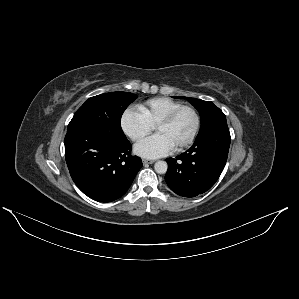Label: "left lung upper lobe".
<instances>
[{"mask_svg": "<svg viewBox=\"0 0 299 299\" xmlns=\"http://www.w3.org/2000/svg\"><path fill=\"white\" fill-rule=\"evenodd\" d=\"M187 100L200 113L201 127L197 138H200L216 129L228 128L224 113L218 107H216L213 102L196 98H187Z\"/></svg>", "mask_w": 299, "mask_h": 299, "instance_id": "5c2ea615", "label": "left lung upper lobe"}]
</instances>
